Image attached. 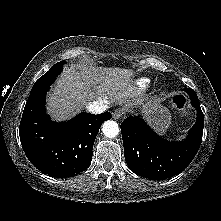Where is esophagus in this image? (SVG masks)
Segmentation results:
<instances>
[{
	"mask_svg": "<svg viewBox=\"0 0 221 221\" xmlns=\"http://www.w3.org/2000/svg\"><path fill=\"white\" fill-rule=\"evenodd\" d=\"M112 115L115 120H118L124 115V110L121 108L116 109Z\"/></svg>",
	"mask_w": 221,
	"mask_h": 221,
	"instance_id": "1",
	"label": "esophagus"
}]
</instances>
